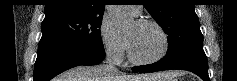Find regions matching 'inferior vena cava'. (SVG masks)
<instances>
[{
    "label": "inferior vena cava",
    "instance_id": "1",
    "mask_svg": "<svg viewBox=\"0 0 237 81\" xmlns=\"http://www.w3.org/2000/svg\"><path fill=\"white\" fill-rule=\"evenodd\" d=\"M106 68L110 73H118L119 72L113 62V56L110 52L106 53Z\"/></svg>",
    "mask_w": 237,
    "mask_h": 81
}]
</instances>
